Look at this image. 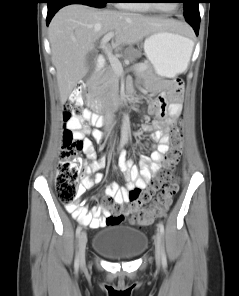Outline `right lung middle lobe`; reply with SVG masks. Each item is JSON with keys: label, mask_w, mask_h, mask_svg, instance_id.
Wrapping results in <instances>:
<instances>
[{"label": "right lung middle lobe", "mask_w": 239, "mask_h": 296, "mask_svg": "<svg viewBox=\"0 0 239 296\" xmlns=\"http://www.w3.org/2000/svg\"><path fill=\"white\" fill-rule=\"evenodd\" d=\"M79 4H85L93 7L102 8L108 3L110 0H73Z\"/></svg>", "instance_id": "obj_1"}]
</instances>
